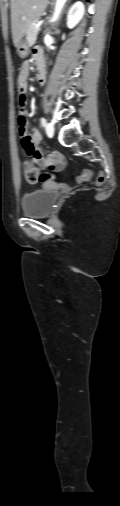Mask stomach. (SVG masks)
Masks as SVG:
<instances>
[{"label": "stomach", "mask_w": 120, "mask_h": 506, "mask_svg": "<svg viewBox=\"0 0 120 506\" xmlns=\"http://www.w3.org/2000/svg\"><path fill=\"white\" fill-rule=\"evenodd\" d=\"M17 47V54L20 58H25L29 53V44L25 39H21L18 43Z\"/></svg>", "instance_id": "stomach-1"}]
</instances>
